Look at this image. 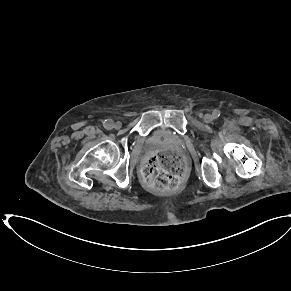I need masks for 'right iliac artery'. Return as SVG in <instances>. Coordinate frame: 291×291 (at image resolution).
<instances>
[{"mask_svg":"<svg viewBox=\"0 0 291 291\" xmlns=\"http://www.w3.org/2000/svg\"><path fill=\"white\" fill-rule=\"evenodd\" d=\"M113 121H111V120H105V122H104V127L106 128V129H108V130H110V129H112L113 128Z\"/></svg>","mask_w":291,"mask_h":291,"instance_id":"obj_1","label":"right iliac artery"}]
</instances>
